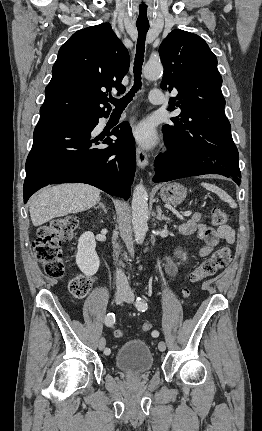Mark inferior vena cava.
<instances>
[{
  "label": "inferior vena cava",
  "instance_id": "obj_1",
  "mask_svg": "<svg viewBox=\"0 0 262 431\" xmlns=\"http://www.w3.org/2000/svg\"><path fill=\"white\" fill-rule=\"evenodd\" d=\"M116 286L119 291H130L128 280L121 270H117L116 274Z\"/></svg>",
  "mask_w": 262,
  "mask_h": 431
}]
</instances>
